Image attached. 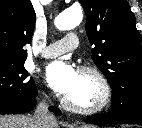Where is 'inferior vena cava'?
Segmentation results:
<instances>
[{"instance_id": "602c4592", "label": "inferior vena cava", "mask_w": 142, "mask_h": 128, "mask_svg": "<svg viewBox=\"0 0 142 128\" xmlns=\"http://www.w3.org/2000/svg\"><path fill=\"white\" fill-rule=\"evenodd\" d=\"M36 128H54L57 125L55 116L49 111L45 101L40 102L34 112Z\"/></svg>"}]
</instances>
